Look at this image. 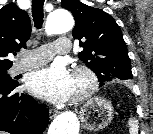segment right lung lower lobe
Masks as SVG:
<instances>
[{
    "label": "right lung lower lobe",
    "mask_w": 153,
    "mask_h": 134,
    "mask_svg": "<svg viewBox=\"0 0 153 134\" xmlns=\"http://www.w3.org/2000/svg\"><path fill=\"white\" fill-rule=\"evenodd\" d=\"M16 85L0 82V130L11 134H42L48 111L31 96L15 92Z\"/></svg>",
    "instance_id": "right-lung-lower-lobe-1"
}]
</instances>
